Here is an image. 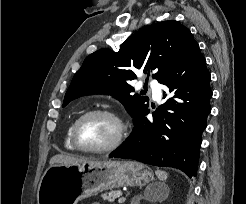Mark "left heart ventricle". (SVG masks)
Masks as SVG:
<instances>
[{
	"label": "left heart ventricle",
	"mask_w": 246,
	"mask_h": 204,
	"mask_svg": "<svg viewBox=\"0 0 246 204\" xmlns=\"http://www.w3.org/2000/svg\"><path fill=\"white\" fill-rule=\"evenodd\" d=\"M116 132V123L111 118L102 115L91 116L79 126L78 142L85 148H100L109 144Z\"/></svg>",
	"instance_id": "obj_1"
}]
</instances>
